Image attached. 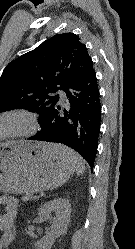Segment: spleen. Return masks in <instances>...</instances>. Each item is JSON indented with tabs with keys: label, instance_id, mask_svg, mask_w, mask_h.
Segmentation results:
<instances>
[{
	"label": "spleen",
	"instance_id": "3e777b00",
	"mask_svg": "<svg viewBox=\"0 0 135 249\" xmlns=\"http://www.w3.org/2000/svg\"><path fill=\"white\" fill-rule=\"evenodd\" d=\"M59 149L64 157H68L74 162L77 176L84 174L86 170L84 160L76 152L65 146L60 145Z\"/></svg>",
	"mask_w": 135,
	"mask_h": 249
}]
</instances>
